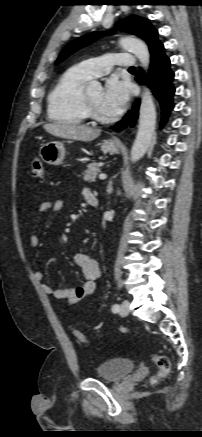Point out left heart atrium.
Wrapping results in <instances>:
<instances>
[{"instance_id": "1", "label": "left heart atrium", "mask_w": 202, "mask_h": 437, "mask_svg": "<svg viewBox=\"0 0 202 437\" xmlns=\"http://www.w3.org/2000/svg\"><path fill=\"white\" fill-rule=\"evenodd\" d=\"M130 98V86L117 78L107 81L101 99V109L107 115H118Z\"/></svg>"}]
</instances>
